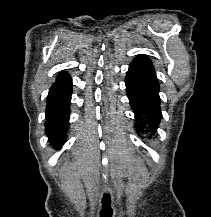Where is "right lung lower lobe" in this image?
<instances>
[{
    "instance_id": "obj_1",
    "label": "right lung lower lobe",
    "mask_w": 211,
    "mask_h": 217,
    "mask_svg": "<svg viewBox=\"0 0 211 217\" xmlns=\"http://www.w3.org/2000/svg\"><path fill=\"white\" fill-rule=\"evenodd\" d=\"M72 79L70 76L56 81L47 96L45 133L50 143L60 148L66 140L69 126Z\"/></svg>"
}]
</instances>
